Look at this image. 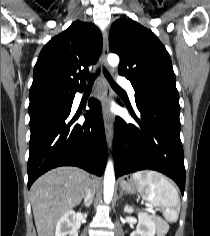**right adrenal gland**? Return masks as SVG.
<instances>
[{"label":"right adrenal gland","instance_id":"2a0ac1e0","mask_svg":"<svg viewBox=\"0 0 210 236\" xmlns=\"http://www.w3.org/2000/svg\"><path fill=\"white\" fill-rule=\"evenodd\" d=\"M90 188L93 190L94 192V186L92 184H90Z\"/></svg>","mask_w":210,"mask_h":236}]
</instances>
